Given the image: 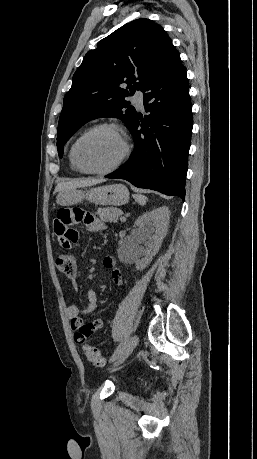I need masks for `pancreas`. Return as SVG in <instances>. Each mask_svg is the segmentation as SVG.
<instances>
[{
    "label": "pancreas",
    "mask_w": 257,
    "mask_h": 459,
    "mask_svg": "<svg viewBox=\"0 0 257 459\" xmlns=\"http://www.w3.org/2000/svg\"><path fill=\"white\" fill-rule=\"evenodd\" d=\"M96 214L100 217L102 221L115 223L118 221V218L122 214V211L115 207H106L99 208Z\"/></svg>",
    "instance_id": "obj_1"
}]
</instances>
